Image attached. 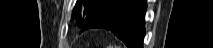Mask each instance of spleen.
I'll list each match as a JSON object with an SVG mask.
<instances>
[{
  "label": "spleen",
  "instance_id": "obj_1",
  "mask_svg": "<svg viewBox=\"0 0 213 48\" xmlns=\"http://www.w3.org/2000/svg\"><path fill=\"white\" fill-rule=\"evenodd\" d=\"M113 48V47H112ZM114 48H120L119 46H115Z\"/></svg>",
  "mask_w": 213,
  "mask_h": 48
}]
</instances>
